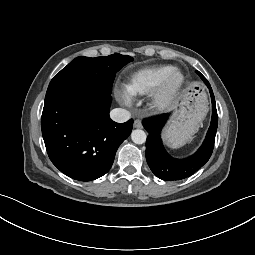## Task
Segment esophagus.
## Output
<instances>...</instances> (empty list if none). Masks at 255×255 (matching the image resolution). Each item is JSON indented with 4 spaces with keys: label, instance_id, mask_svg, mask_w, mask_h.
Instances as JSON below:
<instances>
[{
    "label": "esophagus",
    "instance_id": "34e87169",
    "mask_svg": "<svg viewBox=\"0 0 255 255\" xmlns=\"http://www.w3.org/2000/svg\"><path fill=\"white\" fill-rule=\"evenodd\" d=\"M134 127L135 128H141L142 127V122L140 120H135L134 121Z\"/></svg>",
    "mask_w": 255,
    "mask_h": 255
}]
</instances>
